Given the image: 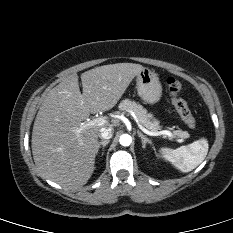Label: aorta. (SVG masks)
<instances>
[{"mask_svg":"<svg viewBox=\"0 0 233 233\" xmlns=\"http://www.w3.org/2000/svg\"><path fill=\"white\" fill-rule=\"evenodd\" d=\"M119 143L122 146H129L132 143V137L129 134H122L119 138Z\"/></svg>","mask_w":233,"mask_h":233,"instance_id":"762f6f07","label":"aorta"}]
</instances>
